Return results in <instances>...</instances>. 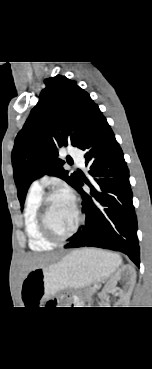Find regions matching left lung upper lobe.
<instances>
[{"label": "left lung upper lobe", "instance_id": "obj_1", "mask_svg": "<svg viewBox=\"0 0 152 369\" xmlns=\"http://www.w3.org/2000/svg\"><path fill=\"white\" fill-rule=\"evenodd\" d=\"M45 84L37 105L17 134L12 151L21 209L32 181L45 174L75 187L78 176L64 170L65 162L57 157L58 148L68 144L78 147L98 109L89 94L65 76L50 77Z\"/></svg>", "mask_w": 152, "mask_h": 369}]
</instances>
